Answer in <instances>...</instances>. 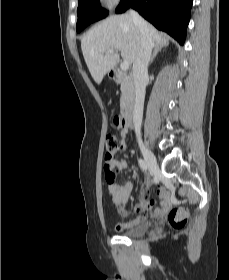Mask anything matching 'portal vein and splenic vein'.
<instances>
[{
    "label": "portal vein and splenic vein",
    "mask_w": 229,
    "mask_h": 280,
    "mask_svg": "<svg viewBox=\"0 0 229 280\" xmlns=\"http://www.w3.org/2000/svg\"><path fill=\"white\" fill-rule=\"evenodd\" d=\"M107 53H114V50H108ZM130 63L128 61H123L120 65L121 70L126 71L129 69Z\"/></svg>",
    "instance_id": "1"
}]
</instances>
